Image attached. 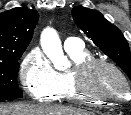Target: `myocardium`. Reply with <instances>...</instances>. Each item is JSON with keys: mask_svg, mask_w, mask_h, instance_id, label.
<instances>
[{"mask_svg": "<svg viewBox=\"0 0 131 115\" xmlns=\"http://www.w3.org/2000/svg\"><path fill=\"white\" fill-rule=\"evenodd\" d=\"M103 66L114 71L120 79L123 81L126 90V96L131 94L130 84L124 73L112 62L102 58H91L77 64L71 71V83L74 93L83 99L92 100L101 104L113 105L121 102H125V97L109 98L99 93L94 92L89 86V76L91 72L99 67Z\"/></svg>", "mask_w": 131, "mask_h": 115, "instance_id": "obj_1", "label": "myocardium"}]
</instances>
